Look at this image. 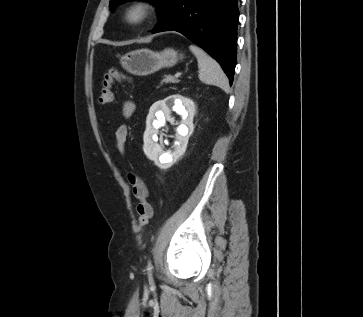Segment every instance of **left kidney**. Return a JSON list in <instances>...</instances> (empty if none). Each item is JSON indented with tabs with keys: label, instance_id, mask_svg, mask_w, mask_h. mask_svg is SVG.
<instances>
[{
	"label": "left kidney",
	"instance_id": "1",
	"mask_svg": "<svg viewBox=\"0 0 363 317\" xmlns=\"http://www.w3.org/2000/svg\"><path fill=\"white\" fill-rule=\"evenodd\" d=\"M171 108L182 116L181 124L176 129L175 150L164 153L162 147L156 143L158 129L171 119ZM195 114L194 102L181 95H171L164 100L155 102L150 110L144 133L143 150L145 155L162 169L171 167L186 151L188 140L193 132V118Z\"/></svg>",
	"mask_w": 363,
	"mask_h": 317
}]
</instances>
